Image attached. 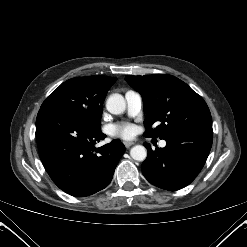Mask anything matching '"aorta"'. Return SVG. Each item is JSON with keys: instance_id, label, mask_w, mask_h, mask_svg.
Wrapping results in <instances>:
<instances>
[{"instance_id": "1", "label": "aorta", "mask_w": 247, "mask_h": 247, "mask_svg": "<svg viewBox=\"0 0 247 247\" xmlns=\"http://www.w3.org/2000/svg\"><path fill=\"white\" fill-rule=\"evenodd\" d=\"M106 108L111 114H122L126 108V101L121 94H112L106 101ZM130 155L136 161H144L147 157V150L142 145H136L131 148Z\"/></svg>"}]
</instances>
